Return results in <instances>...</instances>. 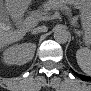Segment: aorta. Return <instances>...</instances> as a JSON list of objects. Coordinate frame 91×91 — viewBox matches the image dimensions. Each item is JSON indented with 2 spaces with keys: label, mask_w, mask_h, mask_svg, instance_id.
<instances>
[{
  "label": "aorta",
  "mask_w": 91,
  "mask_h": 91,
  "mask_svg": "<svg viewBox=\"0 0 91 91\" xmlns=\"http://www.w3.org/2000/svg\"><path fill=\"white\" fill-rule=\"evenodd\" d=\"M54 39L59 43H66L69 39V33L64 26H56L54 29Z\"/></svg>",
  "instance_id": "aorta-1"
}]
</instances>
